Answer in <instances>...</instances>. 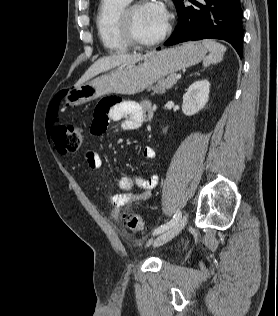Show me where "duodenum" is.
Segmentation results:
<instances>
[{
  "mask_svg": "<svg viewBox=\"0 0 278 316\" xmlns=\"http://www.w3.org/2000/svg\"><path fill=\"white\" fill-rule=\"evenodd\" d=\"M148 115L150 116L151 115V112L149 111Z\"/></svg>",
  "mask_w": 278,
  "mask_h": 316,
  "instance_id": "duodenum-1",
  "label": "duodenum"
}]
</instances>
